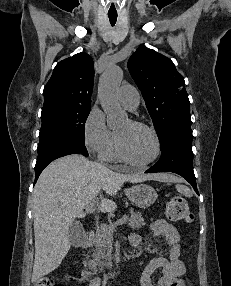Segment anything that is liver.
<instances>
[{"instance_id":"liver-1","label":"liver","mask_w":231,"mask_h":286,"mask_svg":"<svg viewBox=\"0 0 231 286\" xmlns=\"http://www.w3.org/2000/svg\"><path fill=\"white\" fill-rule=\"evenodd\" d=\"M147 180L178 181L170 174H121L103 164L72 154L50 163L41 173L33 191L35 259L32 282L55 270L68 253L70 225L85 217V207L102 189L114 196L126 182ZM116 203L101 196L100 211L110 212Z\"/></svg>"}]
</instances>
